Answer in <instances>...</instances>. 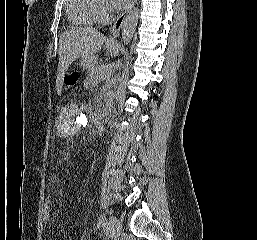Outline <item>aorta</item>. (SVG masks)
<instances>
[{"instance_id":"obj_1","label":"aorta","mask_w":257,"mask_h":240,"mask_svg":"<svg viewBox=\"0 0 257 240\" xmlns=\"http://www.w3.org/2000/svg\"><path fill=\"white\" fill-rule=\"evenodd\" d=\"M139 18V9L134 7L129 11L124 19L122 26V40L125 45H128L135 33L136 26Z\"/></svg>"}]
</instances>
